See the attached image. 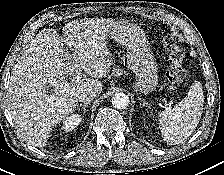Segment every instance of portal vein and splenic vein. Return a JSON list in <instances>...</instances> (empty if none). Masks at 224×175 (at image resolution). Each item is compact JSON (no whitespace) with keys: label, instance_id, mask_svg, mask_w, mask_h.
Segmentation results:
<instances>
[{"label":"portal vein and splenic vein","instance_id":"obj_1","mask_svg":"<svg viewBox=\"0 0 224 175\" xmlns=\"http://www.w3.org/2000/svg\"><path fill=\"white\" fill-rule=\"evenodd\" d=\"M73 79H74L75 81H79V80L81 79V74L78 73L77 75L74 76ZM56 86H59V85L57 84ZM60 86H62V84H61Z\"/></svg>","mask_w":224,"mask_h":175}]
</instances>
